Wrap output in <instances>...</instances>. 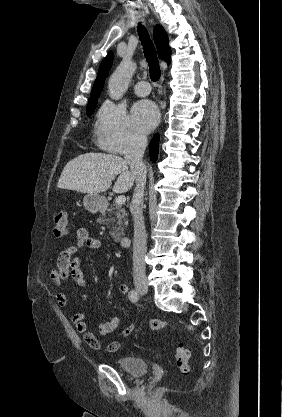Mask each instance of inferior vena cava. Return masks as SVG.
<instances>
[{
  "label": "inferior vena cava",
  "instance_id": "1",
  "mask_svg": "<svg viewBox=\"0 0 282 417\" xmlns=\"http://www.w3.org/2000/svg\"><path fill=\"white\" fill-rule=\"evenodd\" d=\"M147 146V136L134 132L130 138L129 148L125 158L134 174L136 186L134 188L130 211L134 221L133 243V279L134 281H147L145 271V257L147 251V235L143 217V196L146 182L147 168L142 162V156Z\"/></svg>",
  "mask_w": 282,
  "mask_h": 417
}]
</instances>
